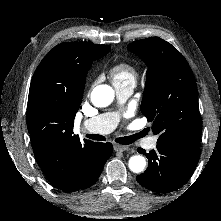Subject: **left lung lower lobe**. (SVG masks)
Returning a JSON list of instances; mask_svg holds the SVG:
<instances>
[{
  "label": "left lung lower lobe",
  "instance_id": "left-lung-lower-lobe-1",
  "mask_svg": "<svg viewBox=\"0 0 221 221\" xmlns=\"http://www.w3.org/2000/svg\"><path fill=\"white\" fill-rule=\"evenodd\" d=\"M137 151L148 158V168L136 180L158 193L175 191L186 183L200 158L199 146L186 144L157 143L149 153L142 148Z\"/></svg>",
  "mask_w": 221,
  "mask_h": 221
}]
</instances>
